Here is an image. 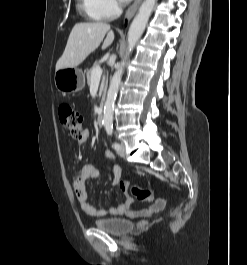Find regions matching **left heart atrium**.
<instances>
[{
    "label": "left heart atrium",
    "instance_id": "obj_1",
    "mask_svg": "<svg viewBox=\"0 0 247 265\" xmlns=\"http://www.w3.org/2000/svg\"><path fill=\"white\" fill-rule=\"evenodd\" d=\"M122 1H124V2H128V1H130V0H122Z\"/></svg>",
    "mask_w": 247,
    "mask_h": 265
}]
</instances>
